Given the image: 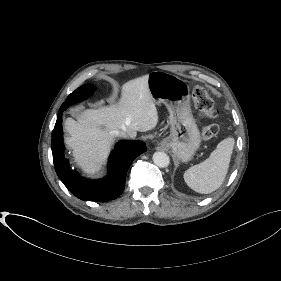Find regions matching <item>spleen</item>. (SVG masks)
Here are the masks:
<instances>
[{"instance_id":"obj_1","label":"spleen","mask_w":281,"mask_h":281,"mask_svg":"<svg viewBox=\"0 0 281 281\" xmlns=\"http://www.w3.org/2000/svg\"><path fill=\"white\" fill-rule=\"evenodd\" d=\"M234 143L231 137L224 139L208 159L186 170L184 173L186 184L202 194L218 189L227 175Z\"/></svg>"}]
</instances>
